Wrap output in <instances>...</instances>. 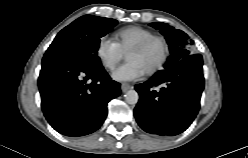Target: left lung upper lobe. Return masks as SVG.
Masks as SVG:
<instances>
[{
	"mask_svg": "<svg viewBox=\"0 0 248 158\" xmlns=\"http://www.w3.org/2000/svg\"><path fill=\"white\" fill-rule=\"evenodd\" d=\"M150 26L159 29L165 36L171 53L163 66L164 69L159 71L157 74H161L162 72L169 70L177 62L191 55L188 49L189 46L193 44V41L186 33L181 30H175L172 26H169L166 23H151Z\"/></svg>",
	"mask_w": 248,
	"mask_h": 158,
	"instance_id": "1",
	"label": "left lung upper lobe"
}]
</instances>
